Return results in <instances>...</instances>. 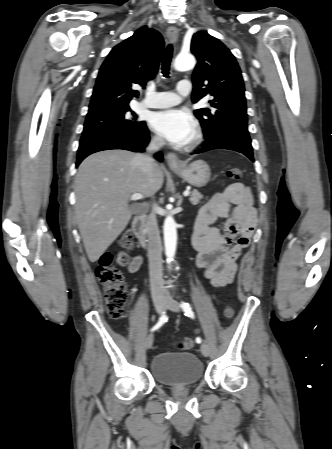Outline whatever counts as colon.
Masks as SVG:
<instances>
[{"label":"colon","instance_id":"5ec220e1","mask_svg":"<svg viewBox=\"0 0 332 449\" xmlns=\"http://www.w3.org/2000/svg\"><path fill=\"white\" fill-rule=\"evenodd\" d=\"M242 175L240 168H231L227 171V177L231 180H240ZM132 245L133 236L130 232H126L120 239V246L123 249H130ZM117 262L123 264L124 260H120L117 256ZM96 274L104 288V298L109 316L113 319H122L125 314L128 292L122 273L113 266L112 254L107 253L102 256ZM223 316L225 319H231L234 316L233 306L227 305L224 308ZM175 347L179 350H187L193 347V341L191 338L185 337L177 341Z\"/></svg>","mask_w":332,"mask_h":449}]
</instances>
